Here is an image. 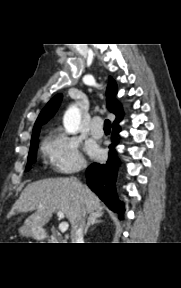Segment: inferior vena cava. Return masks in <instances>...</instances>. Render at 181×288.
Wrapping results in <instances>:
<instances>
[{
  "instance_id": "obj_1",
  "label": "inferior vena cava",
  "mask_w": 181,
  "mask_h": 288,
  "mask_svg": "<svg viewBox=\"0 0 181 288\" xmlns=\"http://www.w3.org/2000/svg\"><path fill=\"white\" fill-rule=\"evenodd\" d=\"M84 217L83 215L80 221L71 230V243H84L83 241V228H84Z\"/></svg>"
}]
</instances>
